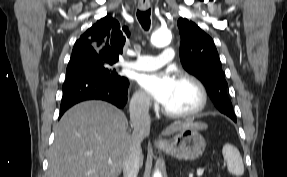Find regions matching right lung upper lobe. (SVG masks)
Instances as JSON below:
<instances>
[{"label":"right lung upper lobe","instance_id":"obj_1","mask_svg":"<svg viewBox=\"0 0 287 177\" xmlns=\"http://www.w3.org/2000/svg\"><path fill=\"white\" fill-rule=\"evenodd\" d=\"M130 32L117 20L104 17L98 20L75 42L70 61L100 58L117 62ZM69 61V62H70Z\"/></svg>","mask_w":287,"mask_h":177}]
</instances>
